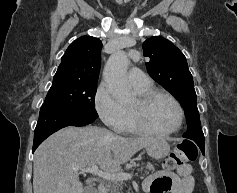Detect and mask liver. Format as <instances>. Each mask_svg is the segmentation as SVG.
Instances as JSON below:
<instances>
[{
    "mask_svg": "<svg viewBox=\"0 0 237 193\" xmlns=\"http://www.w3.org/2000/svg\"><path fill=\"white\" fill-rule=\"evenodd\" d=\"M155 138H127L97 126L67 127L47 138L36 150L34 193H84L79 170L93 165L116 173Z\"/></svg>",
    "mask_w": 237,
    "mask_h": 193,
    "instance_id": "obj_1",
    "label": "liver"
}]
</instances>
